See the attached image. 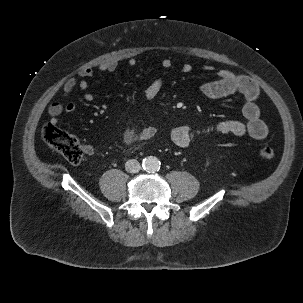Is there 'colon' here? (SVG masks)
Instances as JSON below:
<instances>
[{
	"mask_svg": "<svg viewBox=\"0 0 303 303\" xmlns=\"http://www.w3.org/2000/svg\"><path fill=\"white\" fill-rule=\"evenodd\" d=\"M42 137L52 149L63 155L70 163L79 164L83 160V148L74 134L50 122L43 127ZM258 154L263 160H272L275 157V151L269 146L260 148Z\"/></svg>",
	"mask_w": 303,
	"mask_h": 303,
	"instance_id": "colon-1",
	"label": "colon"
}]
</instances>
